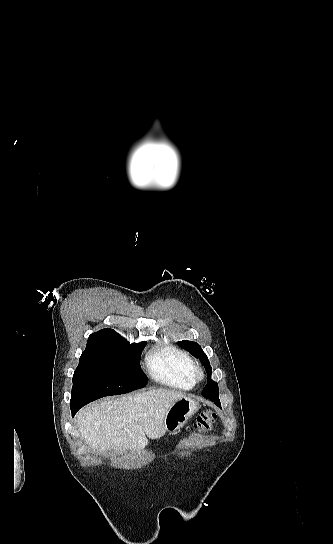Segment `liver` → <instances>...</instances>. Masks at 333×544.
<instances>
[{
	"mask_svg": "<svg viewBox=\"0 0 333 544\" xmlns=\"http://www.w3.org/2000/svg\"><path fill=\"white\" fill-rule=\"evenodd\" d=\"M184 398L179 392L151 389L109 399L79 411L76 423L84 441L93 449L125 452L142 450L148 439H159L169 408Z\"/></svg>",
	"mask_w": 333,
	"mask_h": 544,
	"instance_id": "liver-1",
	"label": "liver"
}]
</instances>
